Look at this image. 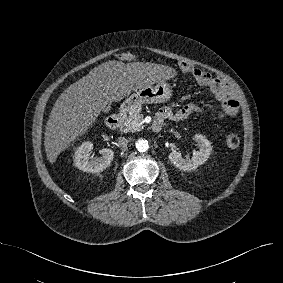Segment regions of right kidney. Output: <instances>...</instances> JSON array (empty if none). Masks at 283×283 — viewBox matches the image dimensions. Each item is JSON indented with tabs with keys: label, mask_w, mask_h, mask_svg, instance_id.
<instances>
[{
	"label": "right kidney",
	"mask_w": 283,
	"mask_h": 283,
	"mask_svg": "<svg viewBox=\"0 0 283 283\" xmlns=\"http://www.w3.org/2000/svg\"><path fill=\"white\" fill-rule=\"evenodd\" d=\"M93 150L90 141L84 142L74 153L75 166L87 173H98L106 169L113 160L114 152L111 149H101L100 157L91 159L89 156Z\"/></svg>",
	"instance_id": "ca27d5eb"
}]
</instances>
